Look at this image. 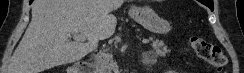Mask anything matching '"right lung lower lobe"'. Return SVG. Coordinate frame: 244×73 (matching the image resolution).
<instances>
[{
	"label": "right lung lower lobe",
	"mask_w": 244,
	"mask_h": 73,
	"mask_svg": "<svg viewBox=\"0 0 244 73\" xmlns=\"http://www.w3.org/2000/svg\"><path fill=\"white\" fill-rule=\"evenodd\" d=\"M33 2V0H30V3H32Z\"/></svg>",
	"instance_id": "1"
}]
</instances>
